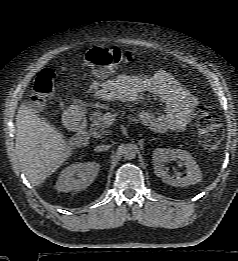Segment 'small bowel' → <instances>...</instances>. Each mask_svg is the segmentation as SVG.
Returning a JSON list of instances; mask_svg holds the SVG:
<instances>
[{"instance_id":"small-bowel-1","label":"small bowel","mask_w":238,"mask_h":261,"mask_svg":"<svg viewBox=\"0 0 238 261\" xmlns=\"http://www.w3.org/2000/svg\"><path fill=\"white\" fill-rule=\"evenodd\" d=\"M87 92L99 100H121L135 106L149 96L158 98L164 106L162 113L153 114L143 109L138 112L140 121L157 132L184 129L198 105V99L164 70L151 76L121 74L103 82L94 81Z\"/></svg>"}]
</instances>
